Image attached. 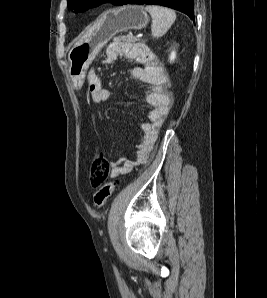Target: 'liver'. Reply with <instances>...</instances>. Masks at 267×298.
I'll list each match as a JSON object with an SVG mask.
<instances>
[{
    "label": "liver",
    "instance_id": "1",
    "mask_svg": "<svg viewBox=\"0 0 267 298\" xmlns=\"http://www.w3.org/2000/svg\"><path fill=\"white\" fill-rule=\"evenodd\" d=\"M99 25H100V22L96 23V24L93 25L91 28H89V29L86 31V33L81 37V39H79V40L76 42L75 46H76V45H79V44H81L83 41L89 39V37H90V36L92 35V33L99 27Z\"/></svg>",
    "mask_w": 267,
    "mask_h": 298
}]
</instances>
